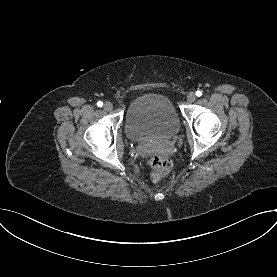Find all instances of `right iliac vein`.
Wrapping results in <instances>:
<instances>
[{"label": "right iliac vein", "mask_w": 277, "mask_h": 277, "mask_svg": "<svg viewBox=\"0 0 277 277\" xmlns=\"http://www.w3.org/2000/svg\"><path fill=\"white\" fill-rule=\"evenodd\" d=\"M103 108L106 111H111L113 109V105L110 102H105Z\"/></svg>", "instance_id": "obj_1"}]
</instances>
